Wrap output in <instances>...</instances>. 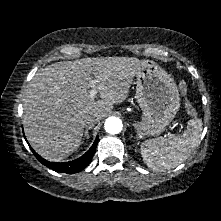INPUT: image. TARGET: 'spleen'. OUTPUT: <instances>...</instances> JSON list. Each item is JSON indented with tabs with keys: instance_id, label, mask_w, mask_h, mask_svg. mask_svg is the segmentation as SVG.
<instances>
[{
	"instance_id": "1",
	"label": "spleen",
	"mask_w": 221,
	"mask_h": 221,
	"mask_svg": "<svg viewBox=\"0 0 221 221\" xmlns=\"http://www.w3.org/2000/svg\"><path fill=\"white\" fill-rule=\"evenodd\" d=\"M202 120L191 119L181 136L169 139L156 138L141 145V155L145 164L157 171L174 168L184 162L198 145L202 133Z\"/></svg>"
}]
</instances>
